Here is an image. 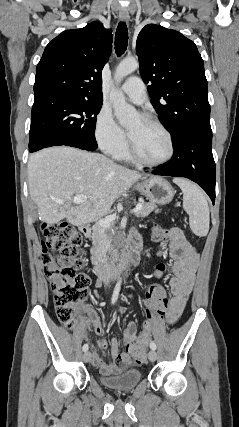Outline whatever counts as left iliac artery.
<instances>
[{
    "instance_id": "44dca946",
    "label": "left iliac artery",
    "mask_w": 239,
    "mask_h": 427,
    "mask_svg": "<svg viewBox=\"0 0 239 427\" xmlns=\"http://www.w3.org/2000/svg\"><path fill=\"white\" fill-rule=\"evenodd\" d=\"M150 348H151L152 350H156V344H155V342H154V341H152V342L150 343Z\"/></svg>"
}]
</instances>
